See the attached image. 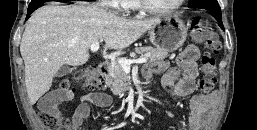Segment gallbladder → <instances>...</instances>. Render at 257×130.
<instances>
[{"mask_svg":"<svg viewBox=\"0 0 257 130\" xmlns=\"http://www.w3.org/2000/svg\"><path fill=\"white\" fill-rule=\"evenodd\" d=\"M71 72H72V69L64 65L59 68V70L56 73V77H63L70 74Z\"/></svg>","mask_w":257,"mask_h":130,"instance_id":"bac80fb5","label":"gallbladder"}]
</instances>
